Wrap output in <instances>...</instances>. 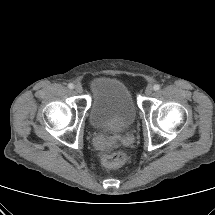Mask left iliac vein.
<instances>
[{
  "instance_id": "4c4485c4",
  "label": "left iliac vein",
  "mask_w": 215,
  "mask_h": 215,
  "mask_svg": "<svg viewBox=\"0 0 215 215\" xmlns=\"http://www.w3.org/2000/svg\"><path fill=\"white\" fill-rule=\"evenodd\" d=\"M152 92H153L152 86H147L146 89H145V94L147 96H150L152 94Z\"/></svg>"
}]
</instances>
